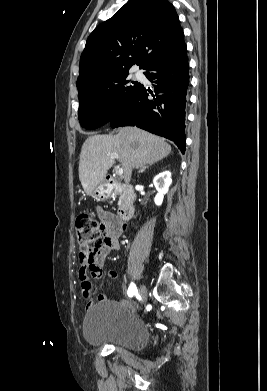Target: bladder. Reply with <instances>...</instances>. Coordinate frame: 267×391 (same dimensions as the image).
Returning <instances> with one entry per match:
<instances>
[{
	"label": "bladder",
	"instance_id": "obj_1",
	"mask_svg": "<svg viewBox=\"0 0 267 391\" xmlns=\"http://www.w3.org/2000/svg\"><path fill=\"white\" fill-rule=\"evenodd\" d=\"M83 337L90 345H112L133 352L143 349L149 339L145 322L119 301L95 304L83 323Z\"/></svg>",
	"mask_w": 267,
	"mask_h": 391
}]
</instances>
